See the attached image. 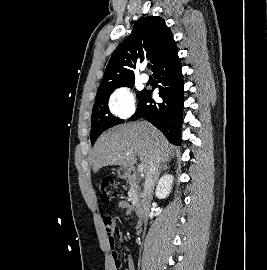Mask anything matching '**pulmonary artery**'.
<instances>
[{"label":"pulmonary artery","instance_id":"e3ab8cb5","mask_svg":"<svg viewBox=\"0 0 267 270\" xmlns=\"http://www.w3.org/2000/svg\"><path fill=\"white\" fill-rule=\"evenodd\" d=\"M142 82H147L149 80V76L145 73L140 76Z\"/></svg>","mask_w":267,"mask_h":270}]
</instances>
